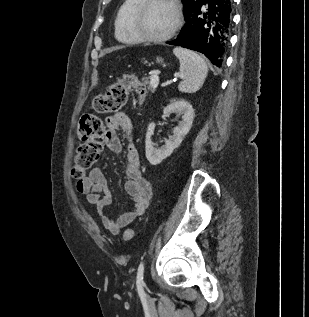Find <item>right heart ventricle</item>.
<instances>
[{"label": "right heart ventricle", "instance_id": "1", "mask_svg": "<svg viewBox=\"0 0 309 317\" xmlns=\"http://www.w3.org/2000/svg\"><path fill=\"white\" fill-rule=\"evenodd\" d=\"M141 2L142 0H124L120 5L114 21V33L118 41L125 44L139 42L131 30L130 21L132 13Z\"/></svg>", "mask_w": 309, "mask_h": 317}]
</instances>
